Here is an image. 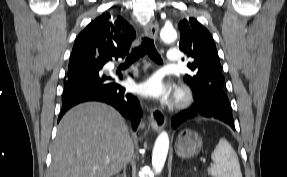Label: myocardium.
Here are the masks:
<instances>
[{
	"label": "myocardium",
	"mask_w": 287,
	"mask_h": 177,
	"mask_svg": "<svg viewBox=\"0 0 287 177\" xmlns=\"http://www.w3.org/2000/svg\"><path fill=\"white\" fill-rule=\"evenodd\" d=\"M193 102V94L189 89L181 88L174 96L173 106L176 109H184Z\"/></svg>",
	"instance_id": "f54148a6"
}]
</instances>
